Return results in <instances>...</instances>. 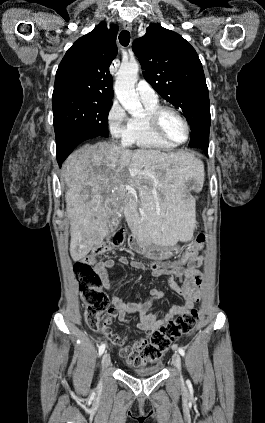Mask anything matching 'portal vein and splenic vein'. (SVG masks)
Masks as SVG:
<instances>
[{
  "label": "portal vein and splenic vein",
  "instance_id": "18ae733b",
  "mask_svg": "<svg viewBox=\"0 0 265 423\" xmlns=\"http://www.w3.org/2000/svg\"><path fill=\"white\" fill-rule=\"evenodd\" d=\"M126 189L127 190H133L132 186H129V185L126 186Z\"/></svg>",
  "mask_w": 265,
  "mask_h": 423
}]
</instances>
